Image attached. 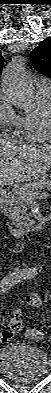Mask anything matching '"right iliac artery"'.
I'll list each match as a JSON object with an SVG mask.
<instances>
[{
  "label": "right iliac artery",
  "mask_w": 51,
  "mask_h": 393,
  "mask_svg": "<svg viewBox=\"0 0 51 393\" xmlns=\"http://www.w3.org/2000/svg\"><path fill=\"white\" fill-rule=\"evenodd\" d=\"M30 273L32 272L21 270L4 277L0 284L2 294H5L16 283L26 279Z\"/></svg>",
  "instance_id": "1"
}]
</instances>
